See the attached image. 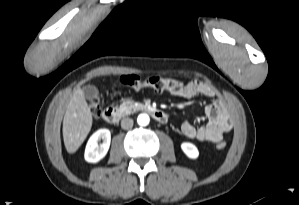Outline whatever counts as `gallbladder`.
I'll list each match as a JSON object with an SVG mask.
<instances>
[{
    "label": "gallbladder",
    "instance_id": "obj_1",
    "mask_svg": "<svg viewBox=\"0 0 299 205\" xmlns=\"http://www.w3.org/2000/svg\"><path fill=\"white\" fill-rule=\"evenodd\" d=\"M82 91L88 100H92L94 98H97L99 95L98 89L93 85H86L82 88Z\"/></svg>",
    "mask_w": 299,
    "mask_h": 205
}]
</instances>
